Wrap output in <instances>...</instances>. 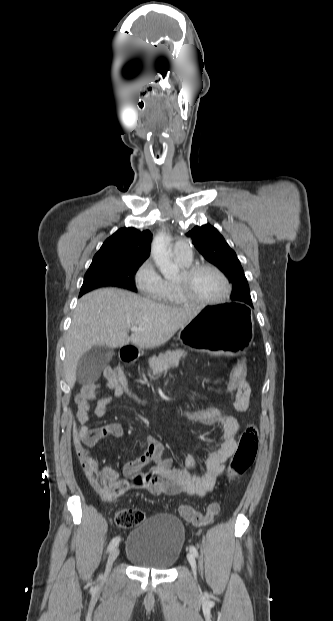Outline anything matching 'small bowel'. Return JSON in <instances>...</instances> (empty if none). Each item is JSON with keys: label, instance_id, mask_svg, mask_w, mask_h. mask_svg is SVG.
I'll use <instances>...</instances> for the list:
<instances>
[{"label": "small bowel", "instance_id": "small-bowel-1", "mask_svg": "<svg viewBox=\"0 0 333 621\" xmlns=\"http://www.w3.org/2000/svg\"><path fill=\"white\" fill-rule=\"evenodd\" d=\"M107 386L112 390L113 397L123 396V391L114 378L107 376ZM98 389V383L85 384L75 397L76 417L81 425L78 435L87 446H94L108 437L119 438L123 435L122 426L118 422H110L94 429L87 427L90 400L96 396ZM250 393L249 384L245 379L233 400V407L237 412H244L248 409ZM111 401V396L97 400L94 413L97 416H103ZM220 426L223 430L222 443L217 450L209 454L200 475L195 473L196 457L202 451L200 444L196 445L194 452L187 458L185 467L176 468L172 465L171 458L165 455L164 445L157 438L148 436L145 439L143 452L124 464L125 478L119 477L112 469H104L116 487L115 493L108 500H115L130 489L146 490L153 495L206 496L213 490L217 479L222 475L227 460L237 450V436L241 428L238 419L225 412ZM150 459H155L156 465L148 472H141L142 467Z\"/></svg>", "mask_w": 333, "mask_h": 621}]
</instances>
